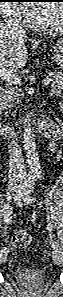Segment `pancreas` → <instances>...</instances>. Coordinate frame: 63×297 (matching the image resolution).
<instances>
[{
    "instance_id": "cf45deb5",
    "label": "pancreas",
    "mask_w": 63,
    "mask_h": 297,
    "mask_svg": "<svg viewBox=\"0 0 63 297\" xmlns=\"http://www.w3.org/2000/svg\"><path fill=\"white\" fill-rule=\"evenodd\" d=\"M50 78H52L51 86L53 89H61L63 85V74L61 72H53L50 75ZM13 101V97L10 96L8 98V103H11Z\"/></svg>"
}]
</instances>
